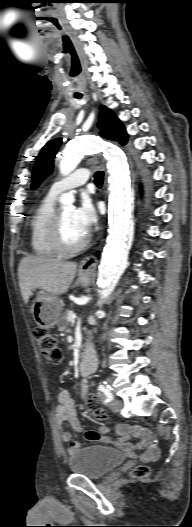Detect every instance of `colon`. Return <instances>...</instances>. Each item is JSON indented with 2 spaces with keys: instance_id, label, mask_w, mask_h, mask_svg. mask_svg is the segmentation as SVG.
Segmentation results:
<instances>
[{
  "instance_id": "obj_1",
  "label": "colon",
  "mask_w": 192,
  "mask_h": 527,
  "mask_svg": "<svg viewBox=\"0 0 192 527\" xmlns=\"http://www.w3.org/2000/svg\"><path fill=\"white\" fill-rule=\"evenodd\" d=\"M33 334L41 355L52 364L57 365L61 363L63 354L57 339L42 327H36ZM85 401L87 412L92 419L96 421H103L106 419V413L102 408L98 397L94 393H87ZM134 474L137 477H146L149 475V469L145 466H141L135 470Z\"/></svg>"
}]
</instances>
